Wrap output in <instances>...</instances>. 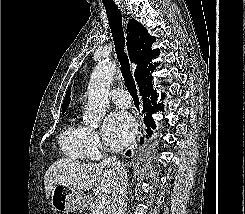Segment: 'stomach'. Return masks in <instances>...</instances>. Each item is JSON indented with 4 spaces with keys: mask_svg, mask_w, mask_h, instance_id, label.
Masks as SVG:
<instances>
[{
    "mask_svg": "<svg viewBox=\"0 0 245 214\" xmlns=\"http://www.w3.org/2000/svg\"><path fill=\"white\" fill-rule=\"evenodd\" d=\"M90 198L81 190L63 185H56L51 195V205L55 211L68 214L72 211L84 210L90 204Z\"/></svg>",
    "mask_w": 245,
    "mask_h": 214,
    "instance_id": "0dacf381",
    "label": "stomach"
}]
</instances>
